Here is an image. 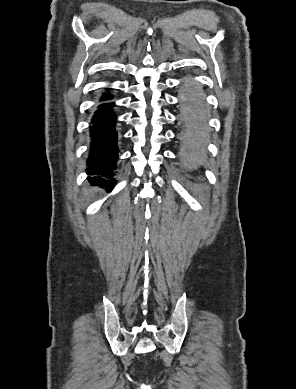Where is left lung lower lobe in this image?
Instances as JSON below:
<instances>
[{"label": "left lung lower lobe", "mask_w": 296, "mask_h": 389, "mask_svg": "<svg viewBox=\"0 0 296 389\" xmlns=\"http://www.w3.org/2000/svg\"><path fill=\"white\" fill-rule=\"evenodd\" d=\"M192 94L196 95V97H192L188 100V102L191 106V110H192L190 114L194 118L193 122L200 123L202 120L201 110H202V106H203V100L198 93L195 92ZM192 145H193V148L195 150L201 149V144L199 141H194Z\"/></svg>", "instance_id": "left-lung-lower-lobe-1"}]
</instances>
